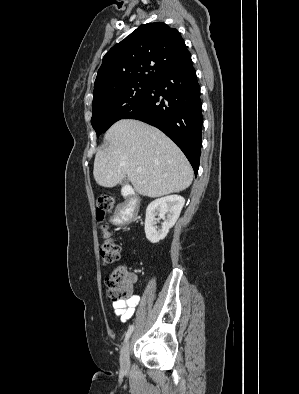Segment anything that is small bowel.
Here are the masks:
<instances>
[{"instance_id":"1","label":"small bowel","mask_w":299,"mask_h":394,"mask_svg":"<svg viewBox=\"0 0 299 394\" xmlns=\"http://www.w3.org/2000/svg\"><path fill=\"white\" fill-rule=\"evenodd\" d=\"M122 207V206H121ZM134 280H136V276L133 275ZM139 296L134 295L127 301H114L113 302V309L117 316L120 317L121 322H126L129 320L135 311L136 306L139 303Z\"/></svg>"}]
</instances>
